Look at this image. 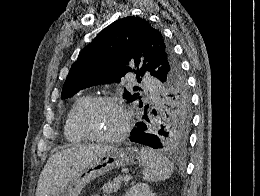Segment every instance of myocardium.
<instances>
[{
    "label": "myocardium",
    "mask_w": 260,
    "mask_h": 196,
    "mask_svg": "<svg viewBox=\"0 0 260 196\" xmlns=\"http://www.w3.org/2000/svg\"><path fill=\"white\" fill-rule=\"evenodd\" d=\"M101 103H109L117 105L124 116L122 127L113 134L96 135L91 133L84 125V118L86 114L91 111L96 105ZM132 126V114L128 105L121 98L115 95H98L91 97L78 111L76 116V127L78 131L84 136L86 140L96 142H116L123 140L130 131Z\"/></svg>",
    "instance_id": "f54148a6"
}]
</instances>
